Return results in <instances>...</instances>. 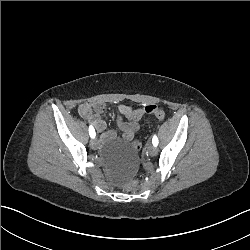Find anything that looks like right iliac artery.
<instances>
[{"label":"right iliac artery","instance_id":"obj_1","mask_svg":"<svg viewBox=\"0 0 250 250\" xmlns=\"http://www.w3.org/2000/svg\"><path fill=\"white\" fill-rule=\"evenodd\" d=\"M89 135L91 138H95L96 133L92 126H89Z\"/></svg>","mask_w":250,"mask_h":250}]
</instances>
